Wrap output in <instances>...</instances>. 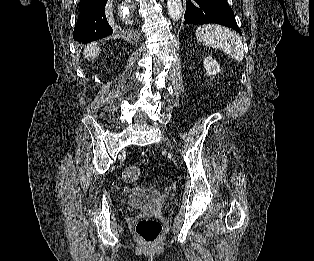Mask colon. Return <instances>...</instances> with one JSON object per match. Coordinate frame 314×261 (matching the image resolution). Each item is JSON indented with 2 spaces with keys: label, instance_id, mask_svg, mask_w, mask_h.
I'll use <instances>...</instances> for the list:
<instances>
[{
  "label": "colon",
  "instance_id": "5ec220e1",
  "mask_svg": "<svg viewBox=\"0 0 314 261\" xmlns=\"http://www.w3.org/2000/svg\"><path fill=\"white\" fill-rule=\"evenodd\" d=\"M140 176V169L137 166H127L122 173L125 182H135ZM136 234L146 243L155 242L162 233V224L158 219L144 217L135 225Z\"/></svg>",
  "mask_w": 314,
  "mask_h": 261
}]
</instances>
